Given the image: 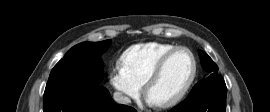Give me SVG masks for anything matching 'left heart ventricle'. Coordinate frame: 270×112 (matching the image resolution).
Wrapping results in <instances>:
<instances>
[{
    "label": "left heart ventricle",
    "instance_id": "1",
    "mask_svg": "<svg viewBox=\"0 0 270 112\" xmlns=\"http://www.w3.org/2000/svg\"><path fill=\"white\" fill-rule=\"evenodd\" d=\"M192 72V60L186 51H179L171 57L161 76L149 89L150 96L157 103L175 96L186 84Z\"/></svg>",
    "mask_w": 270,
    "mask_h": 112
}]
</instances>
